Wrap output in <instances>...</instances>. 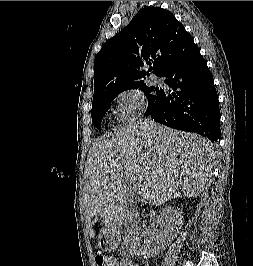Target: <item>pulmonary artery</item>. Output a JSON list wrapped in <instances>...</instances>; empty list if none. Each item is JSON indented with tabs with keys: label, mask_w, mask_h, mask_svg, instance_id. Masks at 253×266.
Wrapping results in <instances>:
<instances>
[{
	"label": "pulmonary artery",
	"mask_w": 253,
	"mask_h": 266,
	"mask_svg": "<svg viewBox=\"0 0 253 266\" xmlns=\"http://www.w3.org/2000/svg\"><path fill=\"white\" fill-rule=\"evenodd\" d=\"M154 82L160 84L161 83V79L158 78V77H154Z\"/></svg>",
	"instance_id": "1"
}]
</instances>
